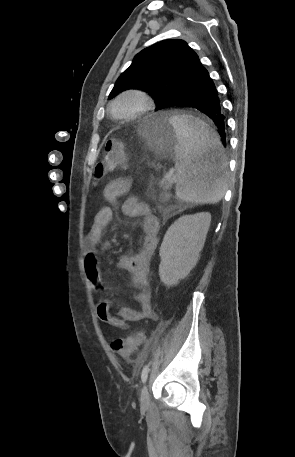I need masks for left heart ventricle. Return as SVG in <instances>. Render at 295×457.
Returning a JSON list of instances; mask_svg holds the SVG:
<instances>
[{"label": "left heart ventricle", "instance_id": "left-heart-ventricle-1", "mask_svg": "<svg viewBox=\"0 0 295 457\" xmlns=\"http://www.w3.org/2000/svg\"><path fill=\"white\" fill-rule=\"evenodd\" d=\"M137 106V102L136 100L132 99V98H126L122 101H120L117 105H116V112L118 114H128L130 112H132Z\"/></svg>", "mask_w": 295, "mask_h": 457}]
</instances>
